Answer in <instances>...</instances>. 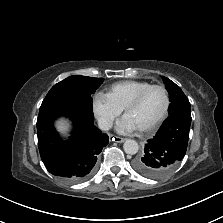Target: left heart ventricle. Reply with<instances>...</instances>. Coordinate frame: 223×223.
I'll list each match as a JSON object with an SVG mask.
<instances>
[{
    "label": "left heart ventricle",
    "instance_id": "left-heart-ventricle-1",
    "mask_svg": "<svg viewBox=\"0 0 223 223\" xmlns=\"http://www.w3.org/2000/svg\"><path fill=\"white\" fill-rule=\"evenodd\" d=\"M165 104L163 91L152 89L135 108L126 113V116L137 129H140L155 122L162 114Z\"/></svg>",
    "mask_w": 223,
    "mask_h": 223
}]
</instances>
